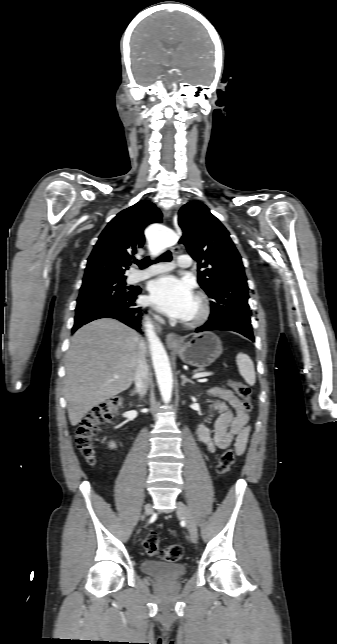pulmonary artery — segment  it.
I'll return each instance as SVG.
<instances>
[{"mask_svg":"<svg viewBox=\"0 0 337 644\" xmlns=\"http://www.w3.org/2000/svg\"><path fill=\"white\" fill-rule=\"evenodd\" d=\"M176 265L181 268H187L191 265V257L186 254L179 255L177 257ZM173 267L171 263H160L149 267L143 271H135L130 275V280L132 282H138L142 279L157 275L159 273L166 272Z\"/></svg>","mask_w":337,"mask_h":644,"instance_id":"1","label":"pulmonary artery"}]
</instances>
